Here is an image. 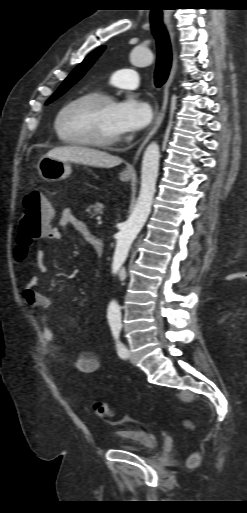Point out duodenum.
I'll use <instances>...</instances> for the list:
<instances>
[{
	"mask_svg": "<svg viewBox=\"0 0 247 513\" xmlns=\"http://www.w3.org/2000/svg\"><path fill=\"white\" fill-rule=\"evenodd\" d=\"M87 240L93 246L97 256L101 257L104 252L103 242L92 234L88 235Z\"/></svg>",
	"mask_w": 247,
	"mask_h": 513,
	"instance_id": "1",
	"label": "duodenum"
}]
</instances>
